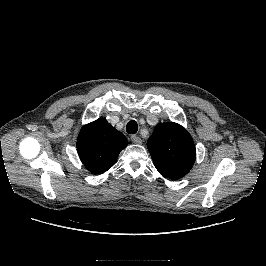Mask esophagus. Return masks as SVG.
I'll use <instances>...</instances> for the list:
<instances>
[{
	"mask_svg": "<svg viewBox=\"0 0 266 266\" xmlns=\"http://www.w3.org/2000/svg\"><path fill=\"white\" fill-rule=\"evenodd\" d=\"M131 141L135 144H141L142 143V139L138 136H135V135L131 136Z\"/></svg>",
	"mask_w": 266,
	"mask_h": 266,
	"instance_id": "34e87169",
	"label": "esophagus"
}]
</instances>
